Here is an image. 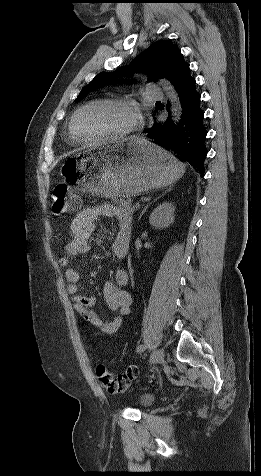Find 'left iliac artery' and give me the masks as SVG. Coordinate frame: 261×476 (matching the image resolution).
I'll return each instance as SVG.
<instances>
[{"mask_svg":"<svg viewBox=\"0 0 261 476\" xmlns=\"http://www.w3.org/2000/svg\"><path fill=\"white\" fill-rule=\"evenodd\" d=\"M147 348L146 345H139L136 349L137 352H143Z\"/></svg>","mask_w":261,"mask_h":476,"instance_id":"44dca946","label":"left iliac artery"}]
</instances>
